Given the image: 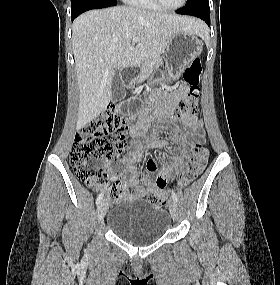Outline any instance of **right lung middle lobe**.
<instances>
[{"label":"right lung middle lobe","instance_id":"obj_1","mask_svg":"<svg viewBox=\"0 0 280 285\" xmlns=\"http://www.w3.org/2000/svg\"><path fill=\"white\" fill-rule=\"evenodd\" d=\"M116 1L117 0H71V6H72V10H74L89 2L112 3Z\"/></svg>","mask_w":280,"mask_h":285}]
</instances>
